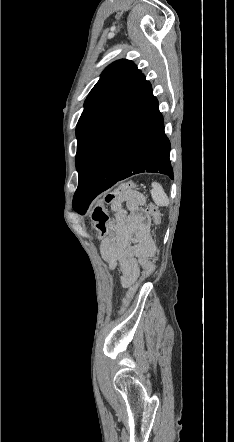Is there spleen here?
I'll list each match as a JSON object with an SVG mask.
<instances>
[{
  "instance_id": "3e777b00",
  "label": "spleen",
  "mask_w": 234,
  "mask_h": 442,
  "mask_svg": "<svg viewBox=\"0 0 234 442\" xmlns=\"http://www.w3.org/2000/svg\"><path fill=\"white\" fill-rule=\"evenodd\" d=\"M151 195L157 206H168L169 198L159 183H152Z\"/></svg>"
}]
</instances>
